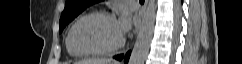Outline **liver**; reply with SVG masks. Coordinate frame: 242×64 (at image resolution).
<instances>
[{
    "label": "liver",
    "instance_id": "liver-1",
    "mask_svg": "<svg viewBox=\"0 0 242 64\" xmlns=\"http://www.w3.org/2000/svg\"><path fill=\"white\" fill-rule=\"evenodd\" d=\"M78 64H117L115 61L104 58H93L78 62Z\"/></svg>",
    "mask_w": 242,
    "mask_h": 64
}]
</instances>
